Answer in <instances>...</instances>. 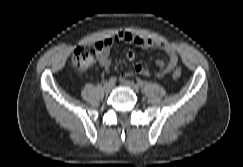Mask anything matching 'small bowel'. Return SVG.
Listing matches in <instances>:
<instances>
[{"mask_svg": "<svg viewBox=\"0 0 243 167\" xmlns=\"http://www.w3.org/2000/svg\"><path fill=\"white\" fill-rule=\"evenodd\" d=\"M119 42L132 43L137 45L141 49L157 48L164 51L167 55L166 59L159 60L156 62V65L160 68V70L156 72L157 77H164L170 74L178 64V57H177L176 50L170 44L164 41L135 35L128 31H121L115 34L113 37L104 40L103 47L100 49L97 55L98 62L102 68L104 69L110 68L111 48L114 44H117ZM125 57L128 61H133L136 58V54L133 51H127ZM135 74H141L147 76L150 74V70L141 64H137L133 70L123 74L121 76V80H125L128 77L133 76Z\"/></svg>", "mask_w": 243, "mask_h": 167, "instance_id": "c3829d8e", "label": "small bowel"}]
</instances>
